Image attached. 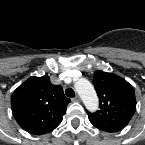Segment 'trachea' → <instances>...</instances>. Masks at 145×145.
<instances>
[{
    "instance_id": "3493384b",
    "label": "trachea",
    "mask_w": 145,
    "mask_h": 145,
    "mask_svg": "<svg viewBox=\"0 0 145 145\" xmlns=\"http://www.w3.org/2000/svg\"><path fill=\"white\" fill-rule=\"evenodd\" d=\"M65 94L67 97H75V92L72 88H67L65 90Z\"/></svg>"
}]
</instances>
